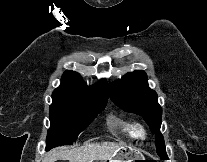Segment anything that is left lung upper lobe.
<instances>
[{
  "mask_svg": "<svg viewBox=\"0 0 207 162\" xmlns=\"http://www.w3.org/2000/svg\"><path fill=\"white\" fill-rule=\"evenodd\" d=\"M111 100L121 109L141 115L155 134L158 155L168 159L163 136L160 133L162 108L157 102V94L150 89L145 72L136 70L127 73L119 81L110 85Z\"/></svg>",
  "mask_w": 207,
  "mask_h": 162,
  "instance_id": "5c2ea615",
  "label": "left lung upper lobe"
}]
</instances>
